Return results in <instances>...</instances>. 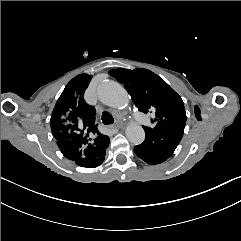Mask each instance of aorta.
Returning <instances> with one entry per match:
<instances>
[{
	"label": "aorta",
	"instance_id": "obj_1",
	"mask_svg": "<svg viewBox=\"0 0 241 241\" xmlns=\"http://www.w3.org/2000/svg\"><path fill=\"white\" fill-rule=\"evenodd\" d=\"M99 99L107 106L113 108H125L128 105V93L124 87L115 81H105L97 87ZM127 139L135 144H141L145 139L144 129L137 123H130L126 127Z\"/></svg>",
	"mask_w": 241,
	"mask_h": 241
}]
</instances>
